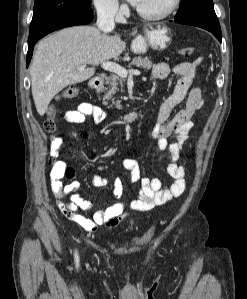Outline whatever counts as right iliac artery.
<instances>
[{
  "mask_svg": "<svg viewBox=\"0 0 247 299\" xmlns=\"http://www.w3.org/2000/svg\"><path fill=\"white\" fill-rule=\"evenodd\" d=\"M75 261H76V263H77V265H78V263H79V258H78L77 253L75 254Z\"/></svg>",
  "mask_w": 247,
  "mask_h": 299,
  "instance_id": "82829eb1",
  "label": "right iliac artery"
}]
</instances>
